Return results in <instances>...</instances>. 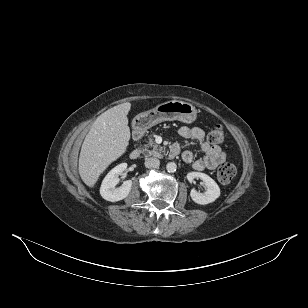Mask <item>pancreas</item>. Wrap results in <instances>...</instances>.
I'll use <instances>...</instances> for the list:
<instances>
[{
	"mask_svg": "<svg viewBox=\"0 0 308 308\" xmlns=\"http://www.w3.org/2000/svg\"><path fill=\"white\" fill-rule=\"evenodd\" d=\"M141 152L144 156H154V157H163L162 153L164 152L163 147H159L152 139H150L146 144L141 148Z\"/></svg>",
	"mask_w": 308,
	"mask_h": 308,
	"instance_id": "pancreas-1",
	"label": "pancreas"
}]
</instances>
